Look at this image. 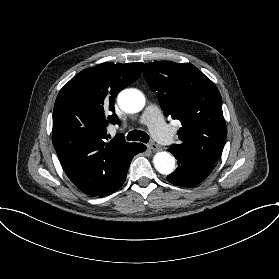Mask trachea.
<instances>
[{
    "label": "trachea",
    "instance_id": "obj_1",
    "mask_svg": "<svg viewBox=\"0 0 279 279\" xmlns=\"http://www.w3.org/2000/svg\"><path fill=\"white\" fill-rule=\"evenodd\" d=\"M127 140L141 141L143 143L149 142V136L143 131L133 130L130 131L127 135Z\"/></svg>",
    "mask_w": 279,
    "mask_h": 279
}]
</instances>
